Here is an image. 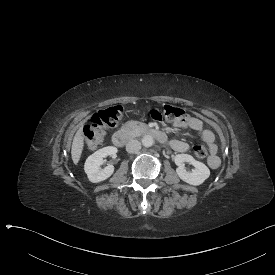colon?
Listing matches in <instances>:
<instances>
[{
  "label": "colon",
  "mask_w": 275,
  "mask_h": 275,
  "mask_svg": "<svg viewBox=\"0 0 275 275\" xmlns=\"http://www.w3.org/2000/svg\"><path fill=\"white\" fill-rule=\"evenodd\" d=\"M124 110L120 104L99 110L83 127V135L86 146L89 149H98L102 146L107 129L114 126L122 116ZM148 116L158 122L178 121L187 114L186 109L175 107L169 104L163 105L161 108H151L148 110ZM194 154L199 159L207 157V146L199 143L194 146Z\"/></svg>",
  "instance_id": "colon-1"
}]
</instances>
